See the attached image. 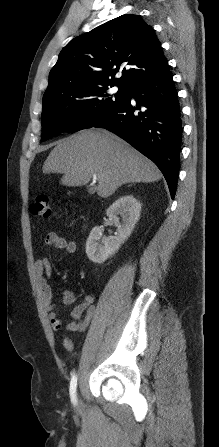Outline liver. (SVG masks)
<instances>
[{
  "label": "liver",
  "instance_id": "obj_1",
  "mask_svg": "<svg viewBox=\"0 0 219 447\" xmlns=\"http://www.w3.org/2000/svg\"><path fill=\"white\" fill-rule=\"evenodd\" d=\"M43 173H61V184L86 185L97 175V194L112 195L126 183L161 179L158 167L121 138L104 129H89L57 142L43 165Z\"/></svg>",
  "mask_w": 219,
  "mask_h": 447
}]
</instances>
